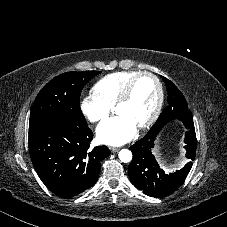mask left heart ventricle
Here are the masks:
<instances>
[{
	"label": "left heart ventricle",
	"instance_id": "obj_1",
	"mask_svg": "<svg viewBox=\"0 0 227 227\" xmlns=\"http://www.w3.org/2000/svg\"><path fill=\"white\" fill-rule=\"evenodd\" d=\"M157 87L148 76L139 78L130 99L116 108V113L128 117L136 126L145 122L153 113L157 102Z\"/></svg>",
	"mask_w": 227,
	"mask_h": 227
}]
</instances>
